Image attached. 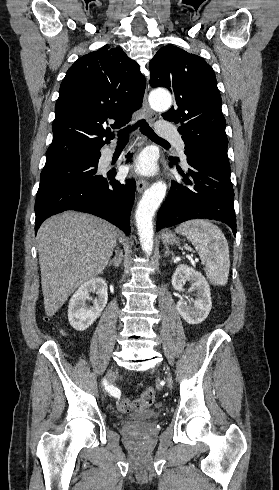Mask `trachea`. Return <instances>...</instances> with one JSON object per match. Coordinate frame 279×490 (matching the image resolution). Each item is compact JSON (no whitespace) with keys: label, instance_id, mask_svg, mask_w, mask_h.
<instances>
[{"label":"trachea","instance_id":"trachea-1","mask_svg":"<svg viewBox=\"0 0 279 490\" xmlns=\"http://www.w3.org/2000/svg\"><path fill=\"white\" fill-rule=\"evenodd\" d=\"M137 127H140V131L143 133V135H146L148 138H150L154 142L168 144V142L166 140H164L163 138H160V137H158V135H156V133L148 125V123L146 122V120H140V121H138L132 127V129H136ZM126 130H127V128L120 131V134L118 136V141L119 142L120 141H127L129 139L128 134L126 133Z\"/></svg>","mask_w":279,"mask_h":490}]
</instances>
